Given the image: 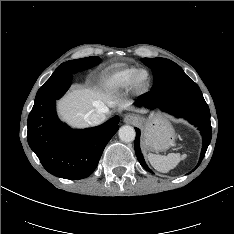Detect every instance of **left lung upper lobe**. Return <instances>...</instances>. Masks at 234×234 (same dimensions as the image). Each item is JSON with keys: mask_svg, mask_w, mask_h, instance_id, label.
<instances>
[{"mask_svg": "<svg viewBox=\"0 0 234 234\" xmlns=\"http://www.w3.org/2000/svg\"><path fill=\"white\" fill-rule=\"evenodd\" d=\"M141 61L152 69L154 75L152 89L160 88L174 80L187 77L182 68L169 59L143 58Z\"/></svg>", "mask_w": 234, "mask_h": 234, "instance_id": "obj_1", "label": "left lung upper lobe"}]
</instances>
